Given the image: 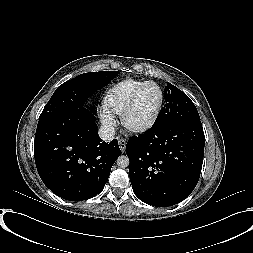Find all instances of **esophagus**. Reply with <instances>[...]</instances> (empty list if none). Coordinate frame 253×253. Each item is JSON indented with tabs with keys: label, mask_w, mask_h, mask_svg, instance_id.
I'll return each instance as SVG.
<instances>
[{
	"label": "esophagus",
	"mask_w": 253,
	"mask_h": 253,
	"mask_svg": "<svg viewBox=\"0 0 253 253\" xmlns=\"http://www.w3.org/2000/svg\"><path fill=\"white\" fill-rule=\"evenodd\" d=\"M118 142L121 152L124 153L126 149V140L123 138H119Z\"/></svg>",
	"instance_id": "1"
}]
</instances>
